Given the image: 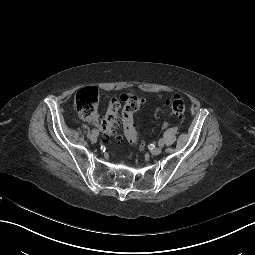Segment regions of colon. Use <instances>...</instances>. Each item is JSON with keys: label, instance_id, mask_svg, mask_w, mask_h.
Returning a JSON list of instances; mask_svg holds the SVG:
<instances>
[{"label": "colon", "instance_id": "1", "mask_svg": "<svg viewBox=\"0 0 255 255\" xmlns=\"http://www.w3.org/2000/svg\"><path fill=\"white\" fill-rule=\"evenodd\" d=\"M120 100L124 103L120 105ZM119 99L113 98L107 108V112L100 124L104 139L110 140L115 135V130L121 122L126 139L135 145H140L134 123V114L143 103V99L135 94L122 95ZM78 114L87 120H93L97 116L98 91L94 87L79 90L74 99ZM167 106L173 117L183 119L185 104L178 95L171 96L167 100Z\"/></svg>", "mask_w": 255, "mask_h": 255}]
</instances>
